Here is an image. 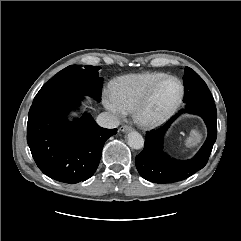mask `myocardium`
<instances>
[{"label":"myocardium","instance_id":"f54148a6","mask_svg":"<svg viewBox=\"0 0 241 241\" xmlns=\"http://www.w3.org/2000/svg\"><path fill=\"white\" fill-rule=\"evenodd\" d=\"M175 80L178 82L180 87L179 96L176 99V101L168 107L165 111L162 113L156 115V116H148L146 115V109L148 105L150 104L155 92L159 88V86L166 80ZM184 84L182 80L176 76L173 75H165L164 77L160 78L158 81H156L143 95V97L138 101V103L133 108V117L135 122L144 128H154L157 126L162 125L165 123L179 108V106L182 103V100L184 98Z\"/></svg>","mask_w":241,"mask_h":241}]
</instances>
